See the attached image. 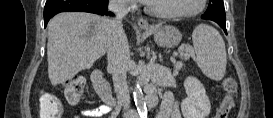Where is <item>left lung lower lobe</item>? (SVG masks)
<instances>
[{"mask_svg": "<svg viewBox=\"0 0 273 118\" xmlns=\"http://www.w3.org/2000/svg\"><path fill=\"white\" fill-rule=\"evenodd\" d=\"M216 23H218L222 27L224 32L227 34L225 22H216Z\"/></svg>", "mask_w": 273, "mask_h": 118, "instance_id": "1", "label": "left lung lower lobe"}]
</instances>
